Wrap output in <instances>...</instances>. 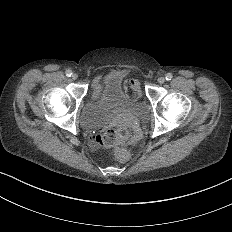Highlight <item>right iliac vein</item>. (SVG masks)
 I'll use <instances>...</instances> for the list:
<instances>
[{
  "mask_svg": "<svg viewBox=\"0 0 232 232\" xmlns=\"http://www.w3.org/2000/svg\"><path fill=\"white\" fill-rule=\"evenodd\" d=\"M78 78V75L77 74H74L73 76H72V79L73 80H76Z\"/></svg>",
  "mask_w": 232,
  "mask_h": 232,
  "instance_id": "right-iliac-vein-1",
  "label": "right iliac vein"
}]
</instances>
